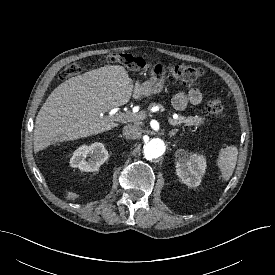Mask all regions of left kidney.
<instances>
[{
  "label": "left kidney",
  "mask_w": 275,
  "mask_h": 275,
  "mask_svg": "<svg viewBox=\"0 0 275 275\" xmlns=\"http://www.w3.org/2000/svg\"><path fill=\"white\" fill-rule=\"evenodd\" d=\"M175 157L176 172L181 181L190 187L199 186L206 169L205 157L191 154L184 149H179Z\"/></svg>",
  "instance_id": "5707ae66"
}]
</instances>
